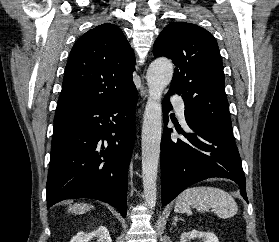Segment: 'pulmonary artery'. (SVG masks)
Returning <instances> with one entry per match:
<instances>
[{
  "instance_id": "1",
  "label": "pulmonary artery",
  "mask_w": 279,
  "mask_h": 242,
  "mask_svg": "<svg viewBox=\"0 0 279 242\" xmlns=\"http://www.w3.org/2000/svg\"><path fill=\"white\" fill-rule=\"evenodd\" d=\"M171 101L174 105L177 116L184 120L185 118V104L180 96H172Z\"/></svg>"
}]
</instances>
